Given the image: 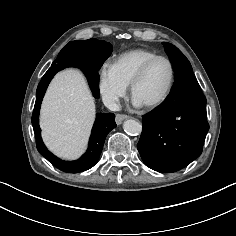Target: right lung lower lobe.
Returning a JSON list of instances; mask_svg holds the SVG:
<instances>
[{
    "mask_svg": "<svg viewBox=\"0 0 236 236\" xmlns=\"http://www.w3.org/2000/svg\"><path fill=\"white\" fill-rule=\"evenodd\" d=\"M111 52V44L102 40L71 41L61 50L37 87L36 102L32 115L37 149L51 164L63 172H82L97 163L107 134L116 127L115 115L113 113L97 114L86 153L76 161H64L53 155L46 148L41 138L39 111L43 96L51 79L58 71L67 66H74L79 67L85 73L94 97L98 98L100 96L98 71Z\"/></svg>",
    "mask_w": 236,
    "mask_h": 236,
    "instance_id": "obj_1",
    "label": "right lung lower lobe"
}]
</instances>
